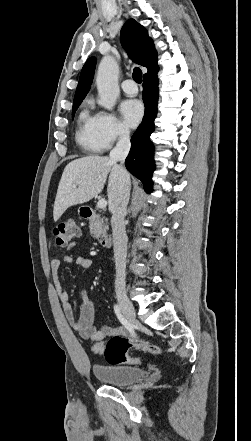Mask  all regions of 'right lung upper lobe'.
I'll return each instance as SVG.
<instances>
[{
	"label": "right lung upper lobe",
	"instance_id": "right-lung-upper-lobe-1",
	"mask_svg": "<svg viewBox=\"0 0 251 441\" xmlns=\"http://www.w3.org/2000/svg\"><path fill=\"white\" fill-rule=\"evenodd\" d=\"M121 43L134 62L147 68L148 72L144 76L158 70L157 52L153 40L149 37L148 31L136 20L129 19L122 27ZM95 66V57L89 58L84 64L74 96V102L83 100L88 93L92 84Z\"/></svg>",
	"mask_w": 251,
	"mask_h": 441
}]
</instances>
